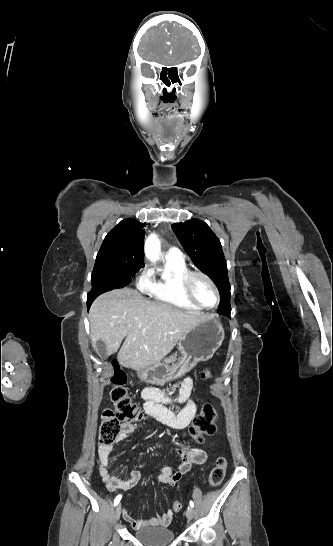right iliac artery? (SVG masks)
<instances>
[{
    "label": "right iliac artery",
    "mask_w": 333,
    "mask_h": 546,
    "mask_svg": "<svg viewBox=\"0 0 333 546\" xmlns=\"http://www.w3.org/2000/svg\"><path fill=\"white\" fill-rule=\"evenodd\" d=\"M121 498H122V495H118V496L114 499V506H116V505L120 502Z\"/></svg>",
    "instance_id": "obj_1"
}]
</instances>
